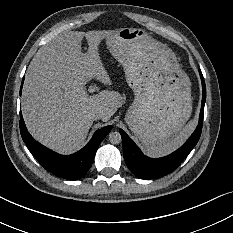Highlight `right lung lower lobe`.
<instances>
[{"mask_svg": "<svg viewBox=\"0 0 233 233\" xmlns=\"http://www.w3.org/2000/svg\"><path fill=\"white\" fill-rule=\"evenodd\" d=\"M21 90L22 85L20 88V94ZM111 129L112 126H106L97 130L90 142L84 148L72 155L64 156L49 150L34 140L28 133L20 112L21 136L34 157L47 171L68 180H77L86 174L93 163L97 148Z\"/></svg>", "mask_w": 233, "mask_h": 233, "instance_id": "obj_1", "label": "right lung lower lobe"}]
</instances>
